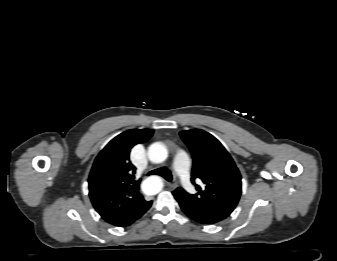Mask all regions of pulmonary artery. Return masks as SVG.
Wrapping results in <instances>:
<instances>
[{
    "mask_svg": "<svg viewBox=\"0 0 337 261\" xmlns=\"http://www.w3.org/2000/svg\"><path fill=\"white\" fill-rule=\"evenodd\" d=\"M173 167L184 188L191 191L193 187L190 181V161L186 153L178 152L176 154L173 161Z\"/></svg>",
    "mask_w": 337,
    "mask_h": 261,
    "instance_id": "pulmonary-artery-1",
    "label": "pulmonary artery"
}]
</instances>
